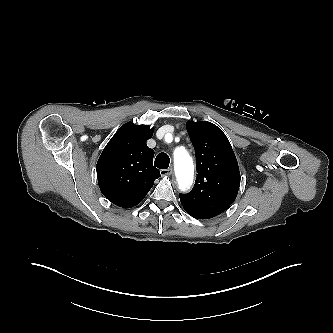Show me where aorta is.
Wrapping results in <instances>:
<instances>
[{"instance_id":"aorta-1","label":"aorta","mask_w":333,"mask_h":333,"mask_svg":"<svg viewBox=\"0 0 333 333\" xmlns=\"http://www.w3.org/2000/svg\"><path fill=\"white\" fill-rule=\"evenodd\" d=\"M174 164L179 188L185 190L193 180L192 158L185 149L177 148L174 152Z\"/></svg>"}]
</instances>
